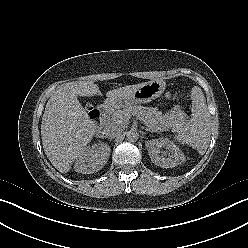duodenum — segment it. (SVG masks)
I'll return each mask as SVG.
<instances>
[{"instance_id":"obj_1","label":"duodenum","mask_w":248,"mask_h":248,"mask_svg":"<svg viewBox=\"0 0 248 248\" xmlns=\"http://www.w3.org/2000/svg\"><path fill=\"white\" fill-rule=\"evenodd\" d=\"M111 105L110 104H103L99 107L97 112V117L94 118L97 120V134L102 135L105 130V115L110 111Z\"/></svg>"}]
</instances>
